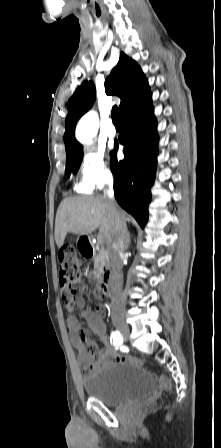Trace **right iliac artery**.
<instances>
[{
    "label": "right iliac artery",
    "mask_w": 221,
    "mask_h": 448,
    "mask_svg": "<svg viewBox=\"0 0 221 448\" xmlns=\"http://www.w3.org/2000/svg\"><path fill=\"white\" fill-rule=\"evenodd\" d=\"M110 342L113 343V345H115L117 347L120 346L123 343V338H122V335L120 334V332H118V331L112 332L111 337H110Z\"/></svg>",
    "instance_id": "obj_1"
}]
</instances>
